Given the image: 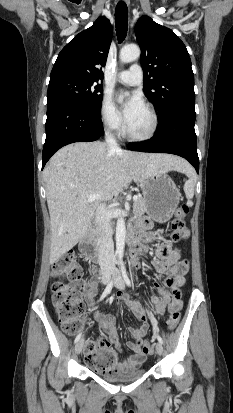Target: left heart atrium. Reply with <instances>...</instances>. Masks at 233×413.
I'll return each mask as SVG.
<instances>
[{
	"instance_id": "39dd6f15",
	"label": "left heart atrium",
	"mask_w": 233,
	"mask_h": 413,
	"mask_svg": "<svg viewBox=\"0 0 233 413\" xmlns=\"http://www.w3.org/2000/svg\"><path fill=\"white\" fill-rule=\"evenodd\" d=\"M143 107L142 98L138 94L131 95L123 106V116L126 124H129Z\"/></svg>"
}]
</instances>
